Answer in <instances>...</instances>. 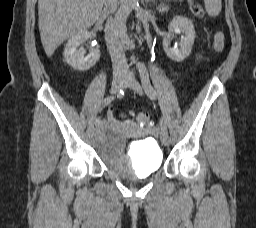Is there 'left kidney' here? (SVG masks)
Masks as SVG:
<instances>
[{"mask_svg": "<svg viewBox=\"0 0 256 228\" xmlns=\"http://www.w3.org/2000/svg\"><path fill=\"white\" fill-rule=\"evenodd\" d=\"M168 29L169 33L182 32L184 34V36H181L179 49L177 47H170L169 36L163 39V49L167 56L174 61L181 62L191 53L195 40L194 25L191 20L183 16H176L169 24Z\"/></svg>", "mask_w": 256, "mask_h": 228, "instance_id": "1", "label": "left kidney"}]
</instances>
